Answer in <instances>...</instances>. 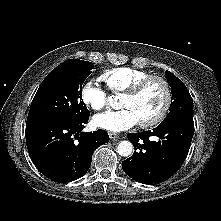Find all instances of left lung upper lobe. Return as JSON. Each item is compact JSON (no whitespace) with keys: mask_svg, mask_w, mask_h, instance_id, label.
<instances>
[{"mask_svg":"<svg viewBox=\"0 0 221 221\" xmlns=\"http://www.w3.org/2000/svg\"><path fill=\"white\" fill-rule=\"evenodd\" d=\"M166 78L172 90V103L169 113L161 123L176 119L192 121L193 100L186 86L179 78L169 71H166Z\"/></svg>","mask_w":221,"mask_h":221,"instance_id":"1","label":"left lung upper lobe"}]
</instances>
